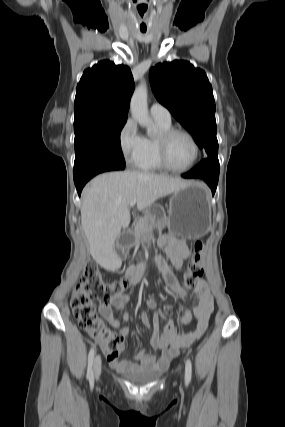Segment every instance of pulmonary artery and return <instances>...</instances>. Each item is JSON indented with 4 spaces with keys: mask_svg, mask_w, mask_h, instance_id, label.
<instances>
[{
    "mask_svg": "<svg viewBox=\"0 0 285 427\" xmlns=\"http://www.w3.org/2000/svg\"><path fill=\"white\" fill-rule=\"evenodd\" d=\"M150 113L155 120L171 123V114L169 110L160 103H153L150 107Z\"/></svg>",
    "mask_w": 285,
    "mask_h": 427,
    "instance_id": "e3ab8cb5",
    "label": "pulmonary artery"
}]
</instances>
